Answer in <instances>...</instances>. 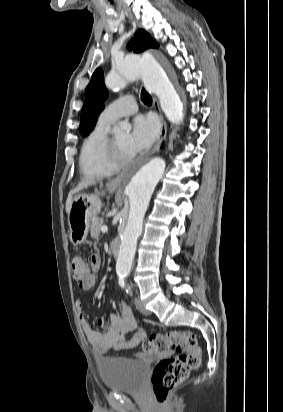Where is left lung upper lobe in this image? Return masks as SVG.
<instances>
[{"mask_svg": "<svg viewBox=\"0 0 283 412\" xmlns=\"http://www.w3.org/2000/svg\"><path fill=\"white\" fill-rule=\"evenodd\" d=\"M158 47L159 44L142 29L135 33L134 38L127 45V48L135 53L142 52L148 48ZM107 95L108 93L103 82V73L98 68L93 73L90 84L85 91L86 101L82 108L79 127V132L82 135L86 136L94 129L95 119L104 109L103 101L107 98Z\"/></svg>", "mask_w": 283, "mask_h": 412, "instance_id": "left-lung-upper-lobe-1", "label": "left lung upper lobe"}]
</instances>
